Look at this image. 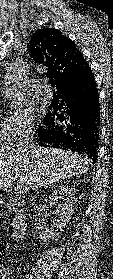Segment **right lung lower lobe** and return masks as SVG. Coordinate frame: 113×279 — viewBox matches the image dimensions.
<instances>
[{
  "label": "right lung lower lobe",
  "mask_w": 113,
  "mask_h": 279,
  "mask_svg": "<svg viewBox=\"0 0 113 279\" xmlns=\"http://www.w3.org/2000/svg\"><path fill=\"white\" fill-rule=\"evenodd\" d=\"M59 112L44 117L46 127L38 128L42 146L67 148L97 160L100 132V104L91 68L75 82L61 88Z\"/></svg>",
  "instance_id": "98d812e1"
}]
</instances>
